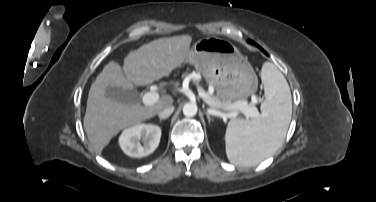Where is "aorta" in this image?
<instances>
[{"label": "aorta", "instance_id": "aorta-1", "mask_svg": "<svg viewBox=\"0 0 376 202\" xmlns=\"http://www.w3.org/2000/svg\"><path fill=\"white\" fill-rule=\"evenodd\" d=\"M198 107L196 103L188 102L183 106V114L187 117H192L197 114Z\"/></svg>", "mask_w": 376, "mask_h": 202}]
</instances>
